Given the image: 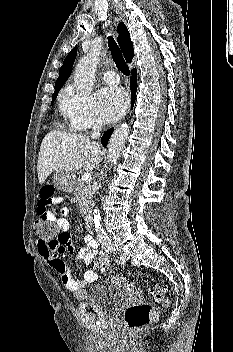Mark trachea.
Returning <instances> with one entry per match:
<instances>
[{
  "instance_id": "1",
  "label": "trachea",
  "mask_w": 233,
  "mask_h": 352,
  "mask_svg": "<svg viewBox=\"0 0 233 352\" xmlns=\"http://www.w3.org/2000/svg\"><path fill=\"white\" fill-rule=\"evenodd\" d=\"M108 46H109L113 61L115 62L117 68L121 71V73L128 76L130 74L129 68L122 56L120 48L118 47L117 43L115 42L112 36L108 37Z\"/></svg>"
}]
</instances>
